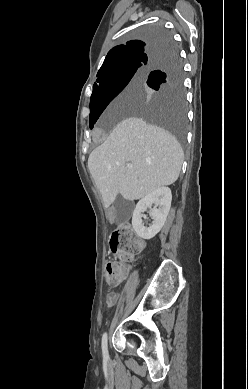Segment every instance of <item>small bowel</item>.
Segmentation results:
<instances>
[{
    "label": "small bowel",
    "instance_id": "obj_1",
    "mask_svg": "<svg viewBox=\"0 0 248 389\" xmlns=\"http://www.w3.org/2000/svg\"><path fill=\"white\" fill-rule=\"evenodd\" d=\"M118 294L115 293V292H110L107 294V297H106V304L108 307H113L117 301H118Z\"/></svg>",
    "mask_w": 248,
    "mask_h": 389
}]
</instances>
